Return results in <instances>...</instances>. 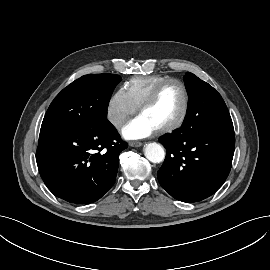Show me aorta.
Here are the masks:
<instances>
[{"mask_svg":"<svg viewBox=\"0 0 270 270\" xmlns=\"http://www.w3.org/2000/svg\"><path fill=\"white\" fill-rule=\"evenodd\" d=\"M145 157L152 163H160L165 158L164 148L158 143H148L144 148Z\"/></svg>","mask_w":270,"mask_h":270,"instance_id":"aorta-1","label":"aorta"}]
</instances>
